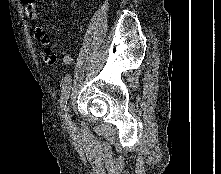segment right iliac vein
<instances>
[{
    "label": "right iliac vein",
    "mask_w": 221,
    "mask_h": 174,
    "mask_svg": "<svg viewBox=\"0 0 221 174\" xmlns=\"http://www.w3.org/2000/svg\"><path fill=\"white\" fill-rule=\"evenodd\" d=\"M66 124L68 127H72V121H71V110L70 105L68 103V106L66 107V116H65Z\"/></svg>",
    "instance_id": "1"
}]
</instances>
